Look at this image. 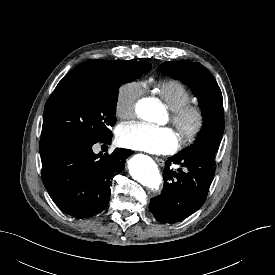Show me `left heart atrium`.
Here are the masks:
<instances>
[{
  "label": "left heart atrium",
  "instance_id": "1",
  "mask_svg": "<svg viewBox=\"0 0 275 275\" xmlns=\"http://www.w3.org/2000/svg\"><path fill=\"white\" fill-rule=\"evenodd\" d=\"M117 141L122 147L155 154L171 153L178 147V138L172 129L145 122L120 125Z\"/></svg>",
  "mask_w": 275,
  "mask_h": 275
}]
</instances>
